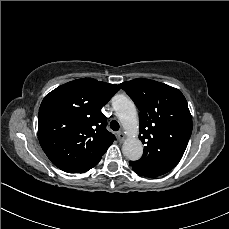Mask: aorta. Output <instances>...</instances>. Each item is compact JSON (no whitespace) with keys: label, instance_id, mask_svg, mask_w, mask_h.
Masks as SVG:
<instances>
[{"label":"aorta","instance_id":"aorta-1","mask_svg":"<svg viewBox=\"0 0 229 229\" xmlns=\"http://www.w3.org/2000/svg\"><path fill=\"white\" fill-rule=\"evenodd\" d=\"M112 106L128 134L122 146L124 156L132 161L140 159L143 154V145L137 138L139 126L135 104L125 95H116L112 99Z\"/></svg>","mask_w":229,"mask_h":229}]
</instances>
